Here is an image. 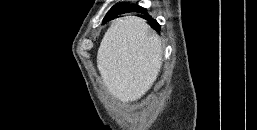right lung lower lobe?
<instances>
[{
  "mask_svg": "<svg viewBox=\"0 0 257 130\" xmlns=\"http://www.w3.org/2000/svg\"><path fill=\"white\" fill-rule=\"evenodd\" d=\"M146 9L142 8V7H139V6H122L120 8H118L117 10L111 12V13H107L106 17H105V20H109V19H112L114 18L113 15H116L118 14L119 12L121 13H125V12H144L145 13ZM149 24L157 29V30H160V25L155 21V20H151L149 22Z\"/></svg>",
  "mask_w": 257,
  "mask_h": 130,
  "instance_id": "98d812e1",
  "label": "right lung lower lobe"
}]
</instances>
